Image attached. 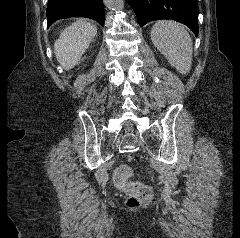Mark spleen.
I'll return each instance as SVG.
<instances>
[{"label": "spleen", "mask_w": 240, "mask_h": 238, "mask_svg": "<svg viewBox=\"0 0 240 238\" xmlns=\"http://www.w3.org/2000/svg\"><path fill=\"white\" fill-rule=\"evenodd\" d=\"M155 47L180 73L191 69L193 46L187 30L174 21H157L151 29Z\"/></svg>", "instance_id": "obj_1"}]
</instances>
